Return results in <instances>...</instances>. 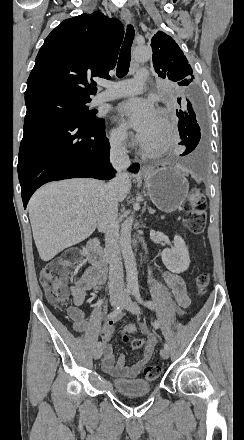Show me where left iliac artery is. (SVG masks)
<instances>
[{"label": "left iliac artery", "mask_w": 244, "mask_h": 440, "mask_svg": "<svg viewBox=\"0 0 244 440\" xmlns=\"http://www.w3.org/2000/svg\"><path fill=\"white\" fill-rule=\"evenodd\" d=\"M132 292H133V295H134L135 299L140 304L144 305L145 307H147V308H149L151 310H155V304L153 302H151V301H144L142 299V297L140 295V291H139L138 285H134L133 286ZM153 326H154L155 329H158L159 328V322L157 320H155ZM164 348L168 350L169 349V345L167 343H164Z\"/></svg>", "instance_id": "left-iliac-artery-1"}]
</instances>
